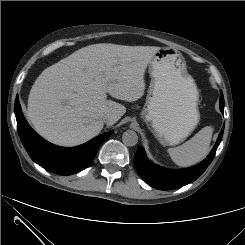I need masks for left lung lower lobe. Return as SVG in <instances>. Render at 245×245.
Here are the masks:
<instances>
[{"label":"left lung lower lobe","instance_id":"left-lung-lower-lobe-1","mask_svg":"<svg viewBox=\"0 0 245 245\" xmlns=\"http://www.w3.org/2000/svg\"><path fill=\"white\" fill-rule=\"evenodd\" d=\"M220 110L224 112V97L220 92ZM224 125L210 154L198 165L181 170H169L151 165L144 153L143 148H138L134 162L139 176L150 186L159 190H171L185 186L195 181L213 160L216 150L221 142Z\"/></svg>","mask_w":245,"mask_h":245}]
</instances>
